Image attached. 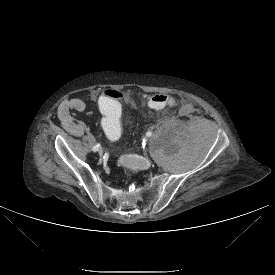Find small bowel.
<instances>
[{"label": "small bowel", "mask_w": 275, "mask_h": 275, "mask_svg": "<svg viewBox=\"0 0 275 275\" xmlns=\"http://www.w3.org/2000/svg\"><path fill=\"white\" fill-rule=\"evenodd\" d=\"M84 105L80 99L74 98L70 101L61 103L58 109V116L66 129L74 136H82L84 133V126L82 123L77 122L74 115L80 114L83 111Z\"/></svg>", "instance_id": "c3829d8e"}]
</instances>
